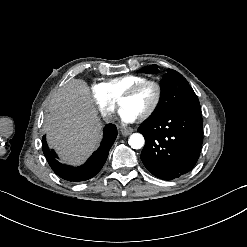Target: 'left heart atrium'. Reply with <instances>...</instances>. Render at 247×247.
Segmentation results:
<instances>
[{"label": "left heart atrium", "mask_w": 247, "mask_h": 247, "mask_svg": "<svg viewBox=\"0 0 247 247\" xmlns=\"http://www.w3.org/2000/svg\"><path fill=\"white\" fill-rule=\"evenodd\" d=\"M139 118H140V112L134 108H131V107H125L120 112V120L124 124L133 123L136 120H138Z\"/></svg>", "instance_id": "1"}]
</instances>
